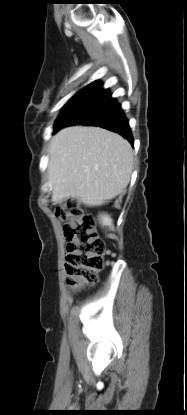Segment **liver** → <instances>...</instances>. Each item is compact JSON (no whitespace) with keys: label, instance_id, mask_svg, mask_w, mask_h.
Returning a JSON list of instances; mask_svg holds the SVG:
<instances>
[{"label":"liver","instance_id":"liver-1","mask_svg":"<svg viewBox=\"0 0 187 415\" xmlns=\"http://www.w3.org/2000/svg\"><path fill=\"white\" fill-rule=\"evenodd\" d=\"M132 170L131 145L105 129L67 127L50 142L48 179L54 204L68 198L87 206L105 204L124 191Z\"/></svg>","mask_w":187,"mask_h":415}]
</instances>
